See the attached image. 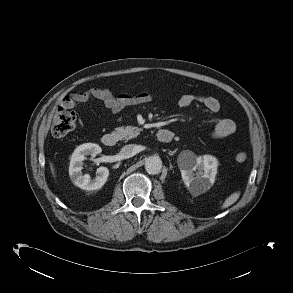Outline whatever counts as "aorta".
Instances as JSON below:
<instances>
[{"instance_id":"1","label":"aorta","mask_w":293,"mask_h":293,"mask_svg":"<svg viewBox=\"0 0 293 293\" xmlns=\"http://www.w3.org/2000/svg\"><path fill=\"white\" fill-rule=\"evenodd\" d=\"M162 169V161L158 156H150L145 160V170L152 175L159 174Z\"/></svg>"}]
</instances>
